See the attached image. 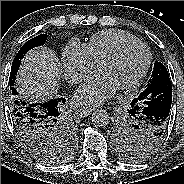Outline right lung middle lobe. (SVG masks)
Segmentation results:
<instances>
[{
  "label": "right lung middle lobe",
  "mask_w": 184,
  "mask_h": 184,
  "mask_svg": "<svg viewBox=\"0 0 184 184\" xmlns=\"http://www.w3.org/2000/svg\"><path fill=\"white\" fill-rule=\"evenodd\" d=\"M47 37V34H41L28 40L15 56L11 66V73L9 78L10 88L13 95H15L14 91H16L14 88L16 74L23 56L30 49L43 45ZM14 103L17 102H13L12 98L11 105L13 116L15 113H17V111L23 112L25 105L23 104L22 100H19V103L16 104V106H14ZM14 107L18 108L16 109ZM17 131L30 154L42 163L55 164L62 161L64 155L63 150L66 148L71 149L74 146V131L69 126L62 111H55L49 114L43 120V124L38 130L39 133L35 136H28L18 129Z\"/></svg>",
  "instance_id": "right-lung-middle-lobe-1"
}]
</instances>
